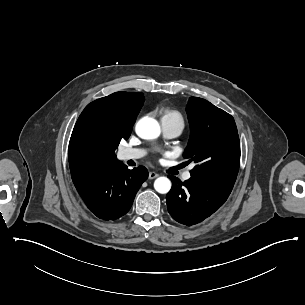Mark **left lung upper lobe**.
Returning a JSON list of instances; mask_svg holds the SVG:
<instances>
[{
	"instance_id": "obj_1",
	"label": "left lung upper lobe",
	"mask_w": 305,
	"mask_h": 305,
	"mask_svg": "<svg viewBox=\"0 0 305 305\" xmlns=\"http://www.w3.org/2000/svg\"><path fill=\"white\" fill-rule=\"evenodd\" d=\"M186 111L191 135L183 156L196 164L191 177L233 187L240 165V142L233 117L198 97L190 98Z\"/></svg>"
}]
</instances>
